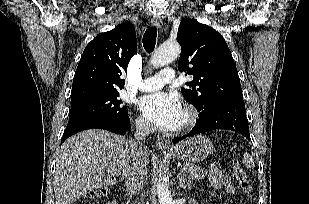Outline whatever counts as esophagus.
<instances>
[{
	"mask_svg": "<svg viewBox=\"0 0 309 204\" xmlns=\"http://www.w3.org/2000/svg\"><path fill=\"white\" fill-rule=\"evenodd\" d=\"M151 23L153 26L161 27L162 26V19L159 16H153L151 19ZM156 145L161 150H171L172 145L168 138L165 137H157L156 139Z\"/></svg>",
	"mask_w": 309,
	"mask_h": 204,
	"instance_id": "esophagus-1",
	"label": "esophagus"
}]
</instances>
